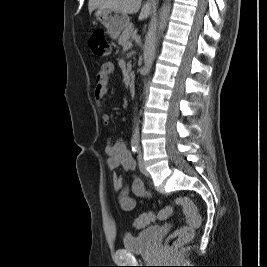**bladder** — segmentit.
I'll return each instance as SVG.
<instances>
[{
	"label": "bladder",
	"mask_w": 267,
	"mask_h": 267,
	"mask_svg": "<svg viewBox=\"0 0 267 267\" xmlns=\"http://www.w3.org/2000/svg\"><path fill=\"white\" fill-rule=\"evenodd\" d=\"M160 229V226L154 225L136 234L126 233L123 237V248L132 253L148 251L158 236Z\"/></svg>",
	"instance_id": "obj_1"
}]
</instances>
